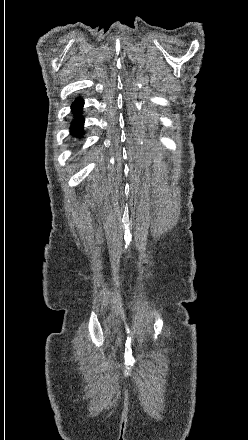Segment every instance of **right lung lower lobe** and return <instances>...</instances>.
<instances>
[{"instance_id":"obj_1","label":"right lung lower lobe","mask_w":248,"mask_h":440,"mask_svg":"<svg viewBox=\"0 0 248 440\" xmlns=\"http://www.w3.org/2000/svg\"><path fill=\"white\" fill-rule=\"evenodd\" d=\"M83 104H84L83 100L76 99V101L71 106L72 112L77 113V117L74 119L71 125V134L76 137L80 136L83 132L82 130H83L84 119L81 116H79Z\"/></svg>"}]
</instances>
